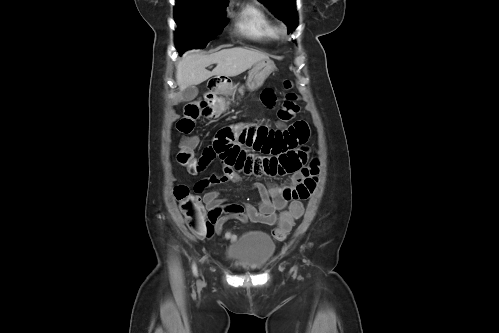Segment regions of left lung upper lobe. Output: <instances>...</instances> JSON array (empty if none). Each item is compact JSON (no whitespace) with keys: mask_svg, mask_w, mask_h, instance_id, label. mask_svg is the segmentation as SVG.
Segmentation results:
<instances>
[{"mask_svg":"<svg viewBox=\"0 0 499 333\" xmlns=\"http://www.w3.org/2000/svg\"><path fill=\"white\" fill-rule=\"evenodd\" d=\"M264 3L280 20H283L289 32L297 27L296 0H259Z\"/></svg>","mask_w":499,"mask_h":333,"instance_id":"left-lung-upper-lobe-1","label":"left lung upper lobe"}]
</instances>
